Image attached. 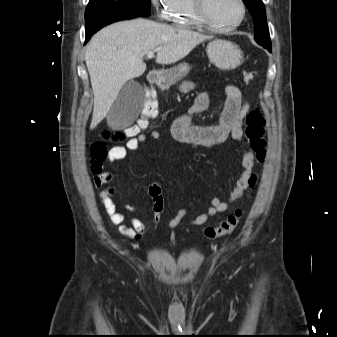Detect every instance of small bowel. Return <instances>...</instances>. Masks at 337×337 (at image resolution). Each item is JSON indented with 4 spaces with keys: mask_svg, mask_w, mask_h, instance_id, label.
Here are the masks:
<instances>
[{
    "mask_svg": "<svg viewBox=\"0 0 337 337\" xmlns=\"http://www.w3.org/2000/svg\"><path fill=\"white\" fill-rule=\"evenodd\" d=\"M225 95L226 100L218 124L200 126L192 123V117L195 114L208 110L210 105V95L206 92L201 93L194 99L187 112L174 122L171 129L173 137L182 142L202 146H213L228 140L242 143L243 119L249 110V104L237 86H226ZM149 139L153 141L159 140L160 133L158 131H151L149 134L142 133L128 139L125 145L112 146L108 150V161L115 162L124 159L129 150H137L141 144ZM254 164L255 156L253 151L245 148L241 157L243 172L230 192L228 201H224L219 197L211 198L210 206L207 210L192 219L189 225L193 227L202 226L218 213L226 212L229 209L230 203L239 201L249 187V180L252 176ZM113 178L114 176L111 172H102L95 176L94 186L100 190V202L104 206L111 223L118 226L121 235L139 240L147 232V225L138 218L127 219L125 214L118 210V206L114 200L118 188L108 185L112 182ZM148 191L153 201V216L151 221L156 226L161 220V214L164 209L162 189L158 183H152L149 185ZM127 208L133 209L131 206H127ZM186 214L187 210L185 208L179 209L168 222V228L175 229Z\"/></svg>",
    "mask_w": 337,
    "mask_h": 337,
    "instance_id": "1",
    "label": "small bowel"
}]
</instances>
